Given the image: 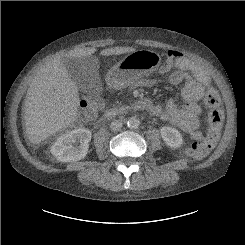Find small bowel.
I'll use <instances>...</instances> for the list:
<instances>
[{
	"label": "small bowel",
	"instance_id": "1",
	"mask_svg": "<svg viewBox=\"0 0 245 245\" xmlns=\"http://www.w3.org/2000/svg\"><path fill=\"white\" fill-rule=\"evenodd\" d=\"M171 69L169 83L175 86L185 83L180 91V96L185 103L179 107L175 99L171 98L164 107L156 106L149 113L160 116L173 125L188 131L194 137H200L197 115L200 112V101L208 88L212 87L211 76L206 69L186 57L170 64L168 70ZM218 110L221 111L219 108Z\"/></svg>",
	"mask_w": 245,
	"mask_h": 245
}]
</instances>
